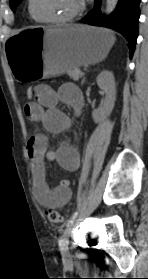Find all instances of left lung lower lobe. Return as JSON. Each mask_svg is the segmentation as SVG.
Instances as JSON below:
<instances>
[{"label":"left lung lower lobe","instance_id":"1","mask_svg":"<svg viewBox=\"0 0 148 279\" xmlns=\"http://www.w3.org/2000/svg\"><path fill=\"white\" fill-rule=\"evenodd\" d=\"M102 0H95V5L80 22L104 26L121 33L129 42L130 56L133 55L138 37V21L140 16L139 4L141 0H119L116 9L110 16H101Z\"/></svg>","mask_w":148,"mask_h":279}]
</instances>
